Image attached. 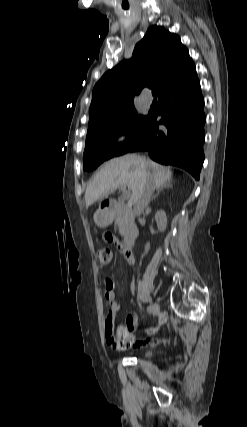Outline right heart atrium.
<instances>
[{
  "label": "right heart atrium",
  "instance_id": "right-heart-atrium-1",
  "mask_svg": "<svg viewBox=\"0 0 247 427\" xmlns=\"http://www.w3.org/2000/svg\"><path fill=\"white\" fill-rule=\"evenodd\" d=\"M132 137H133L132 129L123 128L115 134L113 141L117 146H124L131 141Z\"/></svg>",
  "mask_w": 247,
  "mask_h": 427
}]
</instances>
